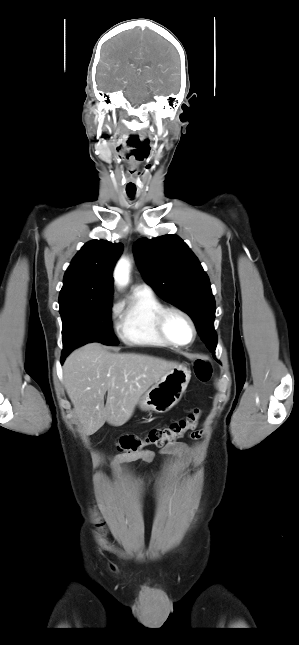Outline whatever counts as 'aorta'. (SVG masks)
I'll use <instances>...</instances> for the list:
<instances>
[{
  "label": "aorta",
  "mask_w": 299,
  "mask_h": 645,
  "mask_svg": "<svg viewBox=\"0 0 299 645\" xmlns=\"http://www.w3.org/2000/svg\"><path fill=\"white\" fill-rule=\"evenodd\" d=\"M128 268L129 263L126 259H121L115 269V279L121 283L126 284L128 282Z\"/></svg>",
  "instance_id": "762f6f07"
}]
</instances>
